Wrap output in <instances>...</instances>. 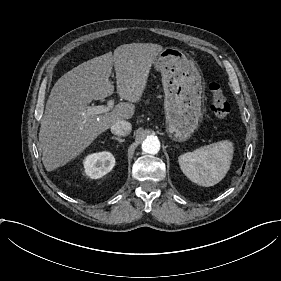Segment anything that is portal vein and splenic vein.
<instances>
[{"label":"portal vein and splenic vein","instance_id":"18ae733b","mask_svg":"<svg viewBox=\"0 0 281 281\" xmlns=\"http://www.w3.org/2000/svg\"><path fill=\"white\" fill-rule=\"evenodd\" d=\"M114 107V100H109L107 105L88 106L82 116H92L109 112Z\"/></svg>","mask_w":281,"mask_h":281}]
</instances>
